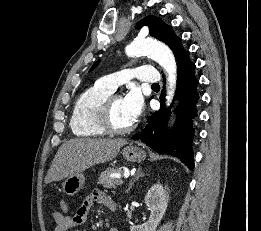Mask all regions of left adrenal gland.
I'll use <instances>...</instances> for the list:
<instances>
[{
  "label": "left adrenal gland",
  "instance_id": "a2214340",
  "mask_svg": "<svg viewBox=\"0 0 261 231\" xmlns=\"http://www.w3.org/2000/svg\"><path fill=\"white\" fill-rule=\"evenodd\" d=\"M140 177H144V173L142 172V168H138L135 177L133 178V180L130 181L129 187L128 189L125 191L126 193H128L132 187L134 186V183L140 178Z\"/></svg>",
  "mask_w": 261,
  "mask_h": 231
}]
</instances>
